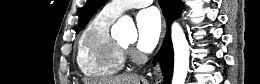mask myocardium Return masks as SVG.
Returning <instances> with one entry per match:
<instances>
[{
  "instance_id": "1",
  "label": "myocardium",
  "mask_w": 260,
  "mask_h": 84,
  "mask_svg": "<svg viewBox=\"0 0 260 84\" xmlns=\"http://www.w3.org/2000/svg\"><path fill=\"white\" fill-rule=\"evenodd\" d=\"M118 49L122 52V54L125 56L128 51V47L122 43L117 42Z\"/></svg>"
}]
</instances>
